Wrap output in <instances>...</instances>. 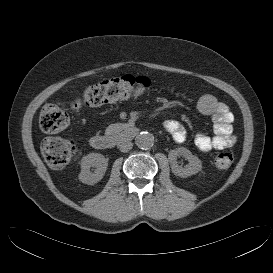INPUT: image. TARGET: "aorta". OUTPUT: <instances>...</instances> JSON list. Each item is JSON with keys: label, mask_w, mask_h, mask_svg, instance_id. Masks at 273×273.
Segmentation results:
<instances>
[{"label": "aorta", "mask_w": 273, "mask_h": 273, "mask_svg": "<svg viewBox=\"0 0 273 273\" xmlns=\"http://www.w3.org/2000/svg\"><path fill=\"white\" fill-rule=\"evenodd\" d=\"M135 143L141 149H150L154 144V136L149 132H140L135 138Z\"/></svg>", "instance_id": "1"}]
</instances>
